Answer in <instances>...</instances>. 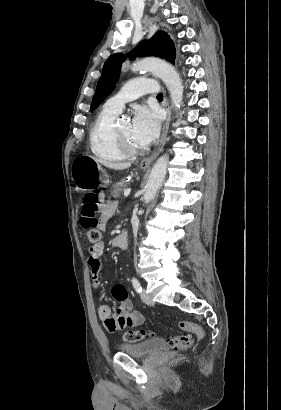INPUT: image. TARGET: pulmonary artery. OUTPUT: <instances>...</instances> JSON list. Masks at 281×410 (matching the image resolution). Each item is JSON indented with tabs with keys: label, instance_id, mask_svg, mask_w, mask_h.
<instances>
[{
	"label": "pulmonary artery",
	"instance_id": "1",
	"mask_svg": "<svg viewBox=\"0 0 281 410\" xmlns=\"http://www.w3.org/2000/svg\"><path fill=\"white\" fill-rule=\"evenodd\" d=\"M157 84L146 78H135L127 83L110 99L105 106L117 112H121L125 103L135 100L145 93H157Z\"/></svg>",
	"mask_w": 281,
	"mask_h": 410
}]
</instances>
